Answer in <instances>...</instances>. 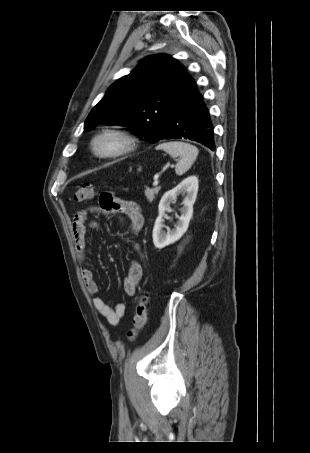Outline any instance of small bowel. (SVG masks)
I'll use <instances>...</instances> for the list:
<instances>
[{"mask_svg":"<svg viewBox=\"0 0 310 453\" xmlns=\"http://www.w3.org/2000/svg\"><path fill=\"white\" fill-rule=\"evenodd\" d=\"M98 211L112 214H124L130 222V228L133 233H138L144 225V214L139 205L132 201L114 198L113 204L109 209H104L100 205L79 210L73 219L72 233L75 248L81 262H84L87 259L86 233L89 228H98L96 222H88V217L90 213ZM132 248L141 256L140 246L137 242H132ZM143 272L144 264L142 262L132 261L130 263L128 274L123 282L124 291L128 296L136 294ZM81 276L88 293L93 296L95 310L105 318L109 325H117L120 319L125 315V304L117 303L114 307H110L101 297L97 296L99 287L94 278V274L90 269L83 268L81 270Z\"/></svg>","mask_w":310,"mask_h":453,"instance_id":"c3829d8e","label":"small bowel"}]
</instances>
